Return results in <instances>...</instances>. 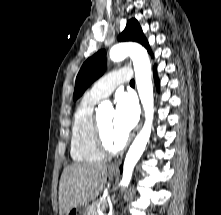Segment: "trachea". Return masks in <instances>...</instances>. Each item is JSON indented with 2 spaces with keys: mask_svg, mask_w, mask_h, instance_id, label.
<instances>
[{
  "mask_svg": "<svg viewBox=\"0 0 221 215\" xmlns=\"http://www.w3.org/2000/svg\"><path fill=\"white\" fill-rule=\"evenodd\" d=\"M130 84H131V85H134V84H135V81H134V80H131V81H130Z\"/></svg>",
  "mask_w": 221,
  "mask_h": 215,
  "instance_id": "obj_1",
  "label": "trachea"
}]
</instances>
